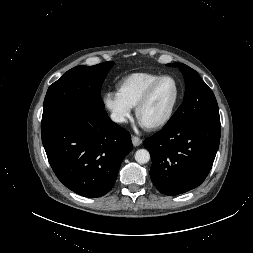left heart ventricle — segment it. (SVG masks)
<instances>
[{"label": "left heart ventricle", "mask_w": 253, "mask_h": 253, "mask_svg": "<svg viewBox=\"0 0 253 253\" xmlns=\"http://www.w3.org/2000/svg\"><path fill=\"white\" fill-rule=\"evenodd\" d=\"M175 96V82L169 78L164 79L154 91L149 102L140 112V123L148 126L162 120L167 115Z\"/></svg>", "instance_id": "left-heart-ventricle-1"}]
</instances>
